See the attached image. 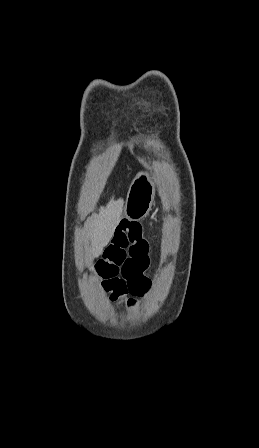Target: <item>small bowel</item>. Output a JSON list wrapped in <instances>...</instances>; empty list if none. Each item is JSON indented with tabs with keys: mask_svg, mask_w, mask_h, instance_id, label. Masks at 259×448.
<instances>
[{
	"mask_svg": "<svg viewBox=\"0 0 259 448\" xmlns=\"http://www.w3.org/2000/svg\"><path fill=\"white\" fill-rule=\"evenodd\" d=\"M149 244L143 236L142 225L122 219L112 231L109 244L95 266V274L102 288L113 300L136 305V298L151 287L145 271L149 266Z\"/></svg>",
	"mask_w": 259,
	"mask_h": 448,
	"instance_id": "c3829d8e",
	"label": "small bowel"
}]
</instances>
